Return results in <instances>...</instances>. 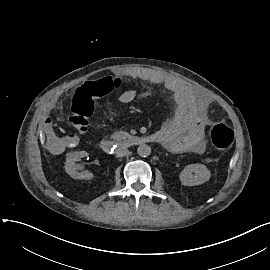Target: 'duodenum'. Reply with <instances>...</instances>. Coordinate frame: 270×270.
<instances>
[{
  "label": "duodenum",
  "instance_id": "410a0bca",
  "mask_svg": "<svg viewBox=\"0 0 270 270\" xmlns=\"http://www.w3.org/2000/svg\"><path fill=\"white\" fill-rule=\"evenodd\" d=\"M160 139L156 134H150L146 136H128L122 142L125 146H139L147 143H159ZM120 144L113 139H104L100 143L101 149L108 154L116 151Z\"/></svg>",
  "mask_w": 270,
  "mask_h": 270
}]
</instances>
